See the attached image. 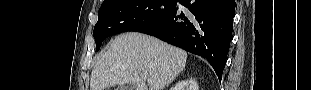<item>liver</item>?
<instances>
[{"label": "liver", "mask_w": 311, "mask_h": 90, "mask_svg": "<svg viewBox=\"0 0 311 90\" xmlns=\"http://www.w3.org/2000/svg\"><path fill=\"white\" fill-rule=\"evenodd\" d=\"M186 61L184 50L157 38L137 32L121 34L92 69L90 90L128 83L135 90H163L185 69ZM141 74L148 76V83Z\"/></svg>", "instance_id": "obj_1"}]
</instances>
